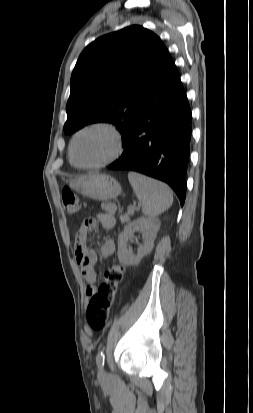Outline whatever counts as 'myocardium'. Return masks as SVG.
I'll list each match as a JSON object with an SVG mask.
<instances>
[{
	"instance_id": "1",
	"label": "myocardium",
	"mask_w": 253,
	"mask_h": 413,
	"mask_svg": "<svg viewBox=\"0 0 253 413\" xmlns=\"http://www.w3.org/2000/svg\"><path fill=\"white\" fill-rule=\"evenodd\" d=\"M91 130H103V131L107 132L113 140V149L107 157L100 160L99 162H96V163H93V164H81V163L77 162L75 157H74L75 142L81 134H83L87 131H91ZM123 150H124V142H123L122 134L119 131V129L114 124H112L110 122L96 121V122H92V123L84 125L83 127L78 129L74 133V135L72 136L71 141H70L69 158H70L71 162L76 167H79V168H82V169H96V168L104 167V166H106L108 164H111L112 162L116 161L121 156V154L123 153Z\"/></svg>"
}]
</instances>
